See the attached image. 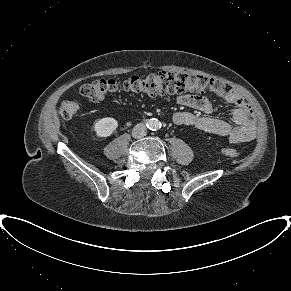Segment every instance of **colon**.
<instances>
[{"label": "colon", "instance_id": "colon-1", "mask_svg": "<svg viewBox=\"0 0 291 291\" xmlns=\"http://www.w3.org/2000/svg\"><path fill=\"white\" fill-rule=\"evenodd\" d=\"M223 90L224 85L213 78L161 71L144 77L133 76L123 81L96 79L84 84L80 89V93L90 101L100 102L107 96L120 92L156 97L166 94L203 91L218 94ZM78 110L79 104L76 101L67 100L61 104L59 112L63 118L68 119L74 116ZM220 152L224 156L233 159L240 156V150L237 147H224Z\"/></svg>", "mask_w": 291, "mask_h": 291}]
</instances>
